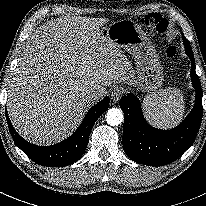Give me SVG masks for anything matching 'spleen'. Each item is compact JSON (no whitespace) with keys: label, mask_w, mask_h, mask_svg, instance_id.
I'll return each mask as SVG.
<instances>
[{"label":"spleen","mask_w":206,"mask_h":206,"mask_svg":"<svg viewBox=\"0 0 206 206\" xmlns=\"http://www.w3.org/2000/svg\"><path fill=\"white\" fill-rule=\"evenodd\" d=\"M185 102L177 88H167L147 95L143 100L145 116L154 126L171 128L183 117Z\"/></svg>","instance_id":"obj_1"}]
</instances>
